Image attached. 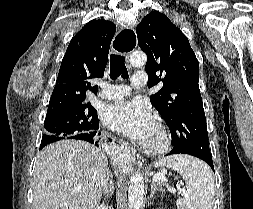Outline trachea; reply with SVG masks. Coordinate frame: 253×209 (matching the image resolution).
<instances>
[{"label":"trachea","instance_id":"obj_1","mask_svg":"<svg viewBox=\"0 0 253 209\" xmlns=\"http://www.w3.org/2000/svg\"><path fill=\"white\" fill-rule=\"evenodd\" d=\"M118 50H122L120 47H117ZM124 79L128 78V71L125 66L124 56L111 54L110 56V78L116 79L120 76Z\"/></svg>","mask_w":253,"mask_h":209}]
</instances>
